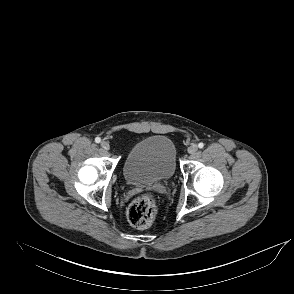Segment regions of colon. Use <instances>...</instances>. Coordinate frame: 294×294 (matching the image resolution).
Instances as JSON below:
<instances>
[{
    "mask_svg": "<svg viewBox=\"0 0 294 294\" xmlns=\"http://www.w3.org/2000/svg\"><path fill=\"white\" fill-rule=\"evenodd\" d=\"M157 214V202L153 195L142 194L135 198L127 210L129 223L136 228H147L155 220Z\"/></svg>",
    "mask_w": 294,
    "mask_h": 294,
    "instance_id": "obj_1",
    "label": "colon"
}]
</instances>
